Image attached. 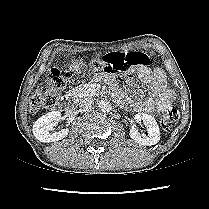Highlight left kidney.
I'll return each mask as SVG.
<instances>
[{"instance_id": "left-kidney-1", "label": "left kidney", "mask_w": 209, "mask_h": 209, "mask_svg": "<svg viewBox=\"0 0 209 209\" xmlns=\"http://www.w3.org/2000/svg\"><path fill=\"white\" fill-rule=\"evenodd\" d=\"M136 121H143L145 127L147 128L148 135L141 134L134 127L130 130V137L141 145H155L160 140L159 126L155 118L146 113H138L134 116Z\"/></svg>"}]
</instances>
